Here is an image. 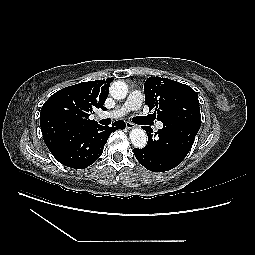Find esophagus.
<instances>
[{"mask_svg": "<svg viewBox=\"0 0 255 255\" xmlns=\"http://www.w3.org/2000/svg\"><path fill=\"white\" fill-rule=\"evenodd\" d=\"M135 127V124L134 123H131V122H126V128L127 129H132Z\"/></svg>", "mask_w": 255, "mask_h": 255, "instance_id": "obj_1", "label": "esophagus"}]
</instances>
